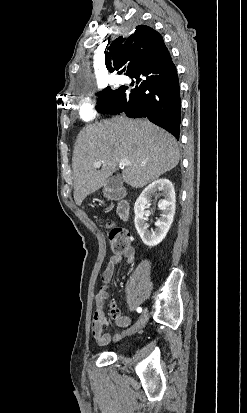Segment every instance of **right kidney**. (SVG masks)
Returning a JSON list of instances; mask_svg holds the SVG:
<instances>
[{
	"instance_id": "1",
	"label": "right kidney",
	"mask_w": 247,
	"mask_h": 413,
	"mask_svg": "<svg viewBox=\"0 0 247 413\" xmlns=\"http://www.w3.org/2000/svg\"><path fill=\"white\" fill-rule=\"evenodd\" d=\"M156 190H162L163 198H160L158 202V209H161V217L157 219L155 223L156 229L149 231L147 221V215L145 209L149 207L151 196L155 194ZM175 190L171 180L168 178H158L151 184H148L144 190H142L140 196H138L135 207V219L134 225L144 243L148 247H156L163 239H165L175 215L176 209Z\"/></svg>"
}]
</instances>
